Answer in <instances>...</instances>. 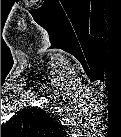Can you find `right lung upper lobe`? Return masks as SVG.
<instances>
[{
	"label": "right lung upper lobe",
	"instance_id": "obj_1",
	"mask_svg": "<svg viewBox=\"0 0 121 137\" xmlns=\"http://www.w3.org/2000/svg\"><path fill=\"white\" fill-rule=\"evenodd\" d=\"M61 128L51 114L41 108L31 107L13 116L5 124L1 125V132L12 135H43L53 134Z\"/></svg>",
	"mask_w": 121,
	"mask_h": 137
}]
</instances>
